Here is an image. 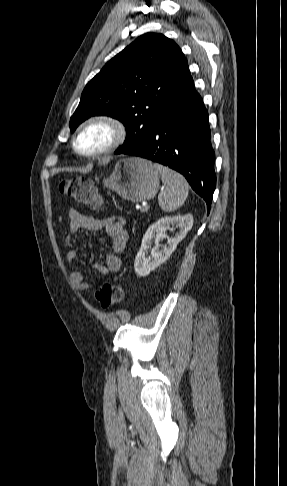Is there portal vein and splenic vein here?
Segmentation results:
<instances>
[{
	"instance_id": "obj_1",
	"label": "portal vein and splenic vein",
	"mask_w": 287,
	"mask_h": 486,
	"mask_svg": "<svg viewBox=\"0 0 287 486\" xmlns=\"http://www.w3.org/2000/svg\"><path fill=\"white\" fill-rule=\"evenodd\" d=\"M142 209H144L145 211H148L149 206L147 205L146 202L142 204Z\"/></svg>"
}]
</instances>
